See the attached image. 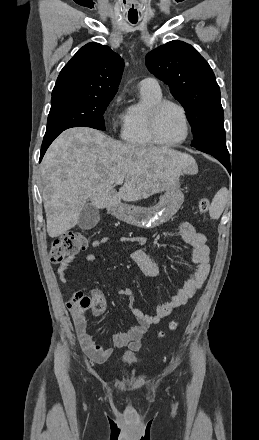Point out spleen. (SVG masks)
I'll list each match as a JSON object with an SVG mask.
<instances>
[{"label":"spleen","instance_id":"3e777b00","mask_svg":"<svg viewBox=\"0 0 259 440\" xmlns=\"http://www.w3.org/2000/svg\"><path fill=\"white\" fill-rule=\"evenodd\" d=\"M228 199H229L228 190L225 187L221 188L215 194V196L212 200V203H211V206L209 209V213H210L211 218L218 219L221 216Z\"/></svg>","mask_w":259,"mask_h":440}]
</instances>
